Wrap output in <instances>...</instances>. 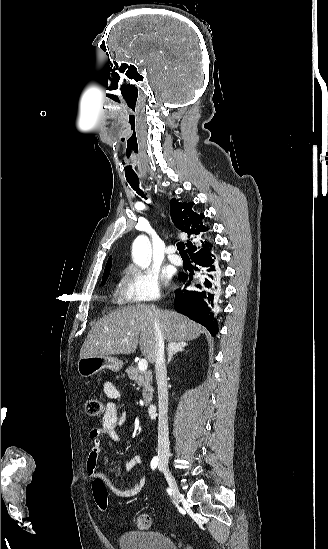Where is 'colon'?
Returning a JSON list of instances; mask_svg holds the SVG:
<instances>
[{
	"mask_svg": "<svg viewBox=\"0 0 328 549\" xmlns=\"http://www.w3.org/2000/svg\"><path fill=\"white\" fill-rule=\"evenodd\" d=\"M86 413L90 416H97L102 412V403L99 399L89 396L84 401ZM92 490L97 508L105 512L108 507V489L105 480L95 479L92 484ZM136 526L140 530H147L151 526V518L148 514H141L137 518Z\"/></svg>",
	"mask_w": 328,
	"mask_h": 549,
	"instance_id": "obj_1",
	"label": "colon"
}]
</instances>
